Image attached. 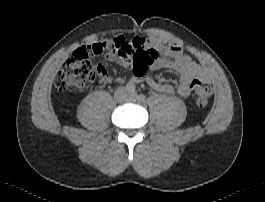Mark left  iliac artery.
Masks as SVG:
<instances>
[{
	"label": "left iliac artery",
	"instance_id": "1",
	"mask_svg": "<svg viewBox=\"0 0 265 202\" xmlns=\"http://www.w3.org/2000/svg\"><path fill=\"white\" fill-rule=\"evenodd\" d=\"M136 99L138 102H145L146 97L143 94H139L138 96H136Z\"/></svg>",
	"mask_w": 265,
	"mask_h": 202
}]
</instances>
